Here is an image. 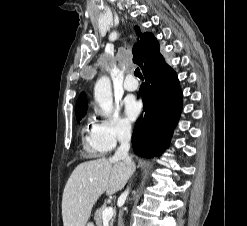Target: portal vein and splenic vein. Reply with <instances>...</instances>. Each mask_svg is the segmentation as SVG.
I'll use <instances>...</instances> for the list:
<instances>
[{"mask_svg": "<svg viewBox=\"0 0 247 226\" xmlns=\"http://www.w3.org/2000/svg\"><path fill=\"white\" fill-rule=\"evenodd\" d=\"M113 215H114V210L112 207H108L103 210L102 213L103 220H109L113 217Z\"/></svg>", "mask_w": 247, "mask_h": 226, "instance_id": "obj_1", "label": "portal vein and splenic vein"}]
</instances>
